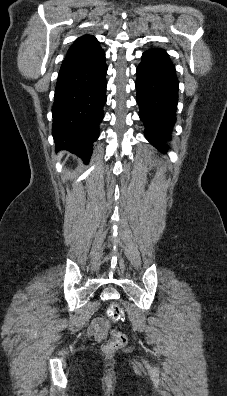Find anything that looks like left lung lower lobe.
I'll return each instance as SVG.
<instances>
[{
    "label": "left lung lower lobe",
    "instance_id": "obj_1",
    "mask_svg": "<svg viewBox=\"0 0 227 396\" xmlns=\"http://www.w3.org/2000/svg\"><path fill=\"white\" fill-rule=\"evenodd\" d=\"M136 73V100L145 136L163 152L176 122L178 80L175 67L165 50L155 48L143 53Z\"/></svg>",
    "mask_w": 227,
    "mask_h": 396
}]
</instances>
